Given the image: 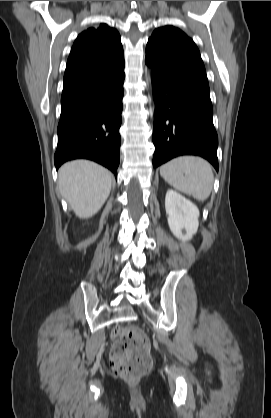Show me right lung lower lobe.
Returning a JSON list of instances; mask_svg holds the SVG:
<instances>
[{"label":"right lung lower lobe","instance_id":"obj_1","mask_svg":"<svg viewBox=\"0 0 271 418\" xmlns=\"http://www.w3.org/2000/svg\"><path fill=\"white\" fill-rule=\"evenodd\" d=\"M124 64L94 85L61 100L54 163L77 158L96 161L117 177Z\"/></svg>","mask_w":271,"mask_h":418}]
</instances>
